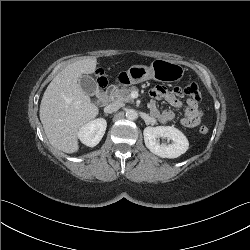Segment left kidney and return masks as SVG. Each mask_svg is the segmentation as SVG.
<instances>
[{
    "mask_svg": "<svg viewBox=\"0 0 250 250\" xmlns=\"http://www.w3.org/2000/svg\"><path fill=\"white\" fill-rule=\"evenodd\" d=\"M146 147L162 158H177L189 147L186 136L173 126L146 127L143 131ZM159 138L172 140L170 144H160Z\"/></svg>",
    "mask_w": 250,
    "mask_h": 250,
    "instance_id": "obj_1",
    "label": "left kidney"
}]
</instances>
